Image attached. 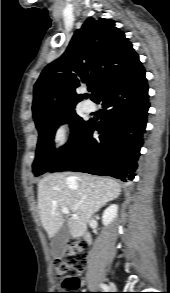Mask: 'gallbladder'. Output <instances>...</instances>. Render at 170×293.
<instances>
[{"instance_id":"1","label":"gallbladder","mask_w":170,"mask_h":293,"mask_svg":"<svg viewBox=\"0 0 170 293\" xmlns=\"http://www.w3.org/2000/svg\"><path fill=\"white\" fill-rule=\"evenodd\" d=\"M70 238V230L68 222L65 221L58 232L53 236L50 244L51 255L55 259H61L67 248V243Z\"/></svg>"}]
</instances>
